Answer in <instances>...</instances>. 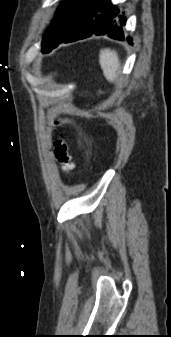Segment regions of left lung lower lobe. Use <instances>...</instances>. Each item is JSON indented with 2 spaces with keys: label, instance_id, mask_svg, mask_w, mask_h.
<instances>
[{
  "label": "left lung lower lobe",
  "instance_id": "0a47b994",
  "mask_svg": "<svg viewBox=\"0 0 171 337\" xmlns=\"http://www.w3.org/2000/svg\"><path fill=\"white\" fill-rule=\"evenodd\" d=\"M125 24L126 18L112 5L111 0H86L77 24L58 44L87 38L92 34H107L113 39L124 40L122 26ZM126 40L131 43L130 37Z\"/></svg>",
  "mask_w": 171,
  "mask_h": 337
}]
</instances>
